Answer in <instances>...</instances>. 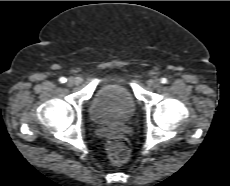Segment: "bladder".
<instances>
[{
	"mask_svg": "<svg viewBox=\"0 0 230 186\" xmlns=\"http://www.w3.org/2000/svg\"><path fill=\"white\" fill-rule=\"evenodd\" d=\"M136 102L131 90L124 84H106L98 88L90 103L89 114L97 123L120 124L134 114Z\"/></svg>",
	"mask_w": 230,
	"mask_h": 186,
	"instance_id": "bladder-1",
	"label": "bladder"
}]
</instances>
